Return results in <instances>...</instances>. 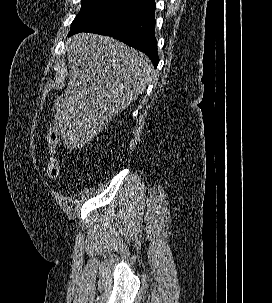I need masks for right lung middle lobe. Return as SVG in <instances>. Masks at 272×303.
I'll use <instances>...</instances> for the list:
<instances>
[{"label": "right lung middle lobe", "mask_w": 272, "mask_h": 303, "mask_svg": "<svg viewBox=\"0 0 272 303\" xmlns=\"http://www.w3.org/2000/svg\"><path fill=\"white\" fill-rule=\"evenodd\" d=\"M82 8L72 22L69 35L84 32L100 24L123 18L141 9L120 0H82Z\"/></svg>", "instance_id": "obj_1"}]
</instances>
